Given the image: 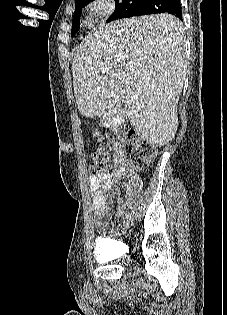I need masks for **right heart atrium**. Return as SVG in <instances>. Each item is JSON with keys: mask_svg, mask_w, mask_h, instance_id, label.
I'll list each match as a JSON object with an SVG mask.
<instances>
[{"mask_svg": "<svg viewBox=\"0 0 227 315\" xmlns=\"http://www.w3.org/2000/svg\"><path fill=\"white\" fill-rule=\"evenodd\" d=\"M114 6V0H91L88 4V12L95 22L100 23L113 13Z\"/></svg>", "mask_w": 227, "mask_h": 315, "instance_id": "obj_1", "label": "right heart atrium"}]
</instances>
